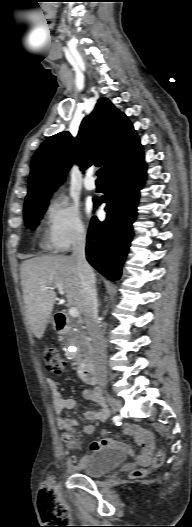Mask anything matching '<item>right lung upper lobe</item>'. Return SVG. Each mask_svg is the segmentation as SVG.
Masks as SVG:
<instances>
[{
  "mask_svg": "<svg viewBox=\"0 0 192 527\" xmlns=\"http://www.w3.org/2000/svg\"><path fill=\"white\" fill-rule=\"evenodd\" d=\"M139 145L126 115L107 98H101L93 112L82 121L75 139L69 132H61L46 139L36 151L25 207L49 200L74 162L81 169L92 164L103 165L102 171L106 174Z\"/></svg>",
  "mask_w": 192,
  "mask_h": 527,
  "instance_id": "right-lung-upper-lobe-1",
  "label": "right lung upper lobe"
}]
</instances>
